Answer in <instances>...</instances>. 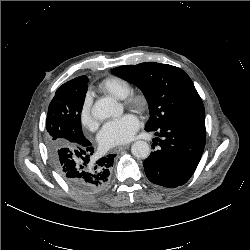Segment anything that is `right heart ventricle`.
Instances as JSON below:
<instances>
[{"mask_svg": "<svg viewBox=\"0 0 250 250\" xmlns=\"http://www.w3.org/2000/svg\"><path fill=\"white\" fill-rule=\"evenodd\" d=\"M98 91L108 94L116 99H125L132 91L131 83L119 76H110L97 87Z\"/></svg>", "mask_w": 250, "mask_h": 250, "instance_id": "right-heart-ventricle-1", "label": "right heart ventricle"}]
</instances>
